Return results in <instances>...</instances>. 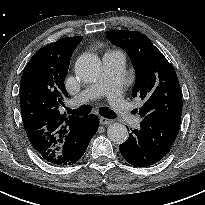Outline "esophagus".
<instances>
[{"label": "esophagus", "mask_w": 205, "mask_h": 205, "mask_svg": "<svg viewBox=\"0 0 205 205\" xmlns=\"http://www.w3.org/2000/svg\"><path fill=\"white\" fill-rule=\"evenodd\" d=\"M99 122H100V124H102V125H107V124H110V123L112 122V120H111V119H108V118H105V117H103V116H100V117H99Z\"/></svg>", "instance_id": "1"}]
</instances>
